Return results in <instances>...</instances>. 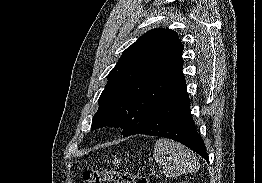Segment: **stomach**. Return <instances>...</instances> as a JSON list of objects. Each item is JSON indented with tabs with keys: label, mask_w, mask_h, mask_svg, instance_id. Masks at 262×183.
I'll return each instance as SVG.
<instances>
[{
	"label": "stomach",
	"mask_w": 262,
	"mask_h": 183,
	"mask_svg": "<svg viewBox=\"0 0 262 183\" xmlns=\"http://www.w3.org/2000/svg\"><path fill=\"white\" fill-rule=\"evenodd\" d=\"M114 165H120L121 159L115 158L114 161H112Z\"/></svg>",
	"instance_id": "0dacf381"
}]
</instances>
